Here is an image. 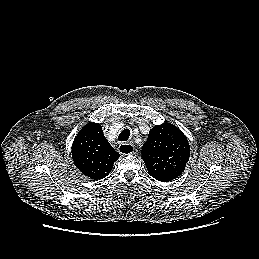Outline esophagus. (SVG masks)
<instances>
[{"instance_id": "1", "label": "esophagus", "mask_w": 259, "mask_h": 259, "mask_svg": "<svg viewBox=\"0 0 259 259\" xmlns=\"http://www.w3.org/2000/svg\"><path fill=\"white\" fill-rule=\"evenodd\" d=\"M118 151L120 154L127 156L133 154L135 152V148L131 143H122L119 145Z\"/></svg>"}]
</instances>
